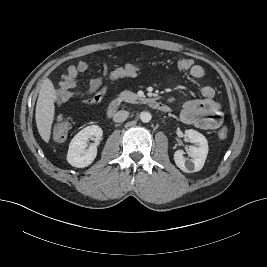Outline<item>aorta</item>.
I'll return each instance as SVG.
<instances>
[{"label":"aorta","mask_w":267,"mask_h":267,"mask_svg":"<svg viewBox=\"0 0 267 267\" xmlns=\"http://www.w3.org/2000/svg\"><path fill=\"white\" fill-rule=\"evenodd\" d=\"M140 119L142 122L148 123L152 119V115L147 111H143L140 113Z\"/></svg>","instance_id":"1"}]
</instances>
